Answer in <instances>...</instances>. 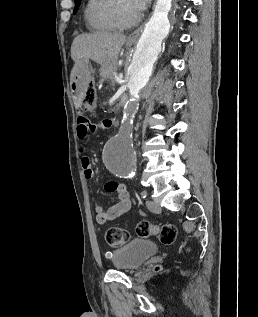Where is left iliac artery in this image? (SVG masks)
Segmentation results:
<instances>
[{
	"mask_svg": "<svg viewBox=\"0 0 258 317\" xmlns=\"http://www.w3.org/2000/svg\"><path fill=\"white\" fill-rule=\"evenodd\" d=\"M147 195H148V193H147L146 190H143V191L141 192V197H142L143 199H145V198L147 197Z\"/></svg>",
	"mask_w": 258,
	"mask_h": 317,
	"instance_id": "44dca946",
	"label": "left iliac artery"
}]
</instances>
